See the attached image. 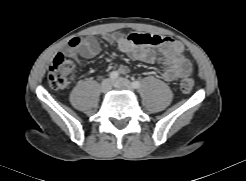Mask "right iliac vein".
<instances>
[{"mask_svg":"<svg viewBox=\"0 0 246 181\" xmlns=\"http://www.w3.org/2000/svg\"><path fill=\"white\" fill-rule=\"evenodd\" d=\"M112 88V81L110 79H105L101 84V91L103 93H108Z\"/></svg>","mask_w":246,"mask_h":181,"instance_id":"1","label":"right iliac vein"}]
</instances>
